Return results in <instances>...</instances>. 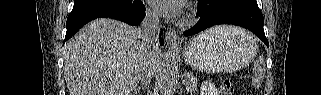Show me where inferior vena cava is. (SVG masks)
<instances>
[{
    "instance_id": "602c4592",
    "label": "inferior vena cava",
    "mask_w": 321,
    "mask_h": 95,
    "mask_svg": "<svg viewBox=\"0 0 321 95\" xmlns=\"http://www.w3.org/2000/svg\"><path fill=\"white\" fill-rule=\"evenodd\" d=\"M159 31L160 21L158 14L147 9L146 16L142 22V27L140 28V34L148 51V57L139 77V81L146 86H148V84L151 82V79L155 73L153 61L155 58V51L159 47Z\"/></svg>"
}]
</instances>
